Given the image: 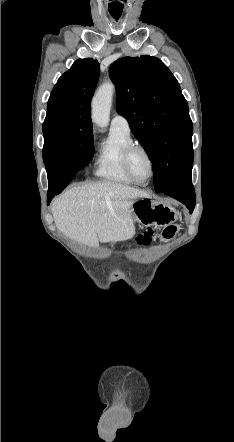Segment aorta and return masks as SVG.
<instances>
[{"instance_id": "762f6f07", "label": "aorta", "mask_w": 234, "mask_h": 442, "mask_svg": "<svg viewBox=\"0 0 234 442\" xmlns=\"http://www.w3.org/2000/svg\"><path fill=\"white\" fill-rule=\"evenodd\" d=\"M114 90V85L106 82L93 97L92 120L99 127L103 128L108 125Z\"/></svg>"}]
</instances>
